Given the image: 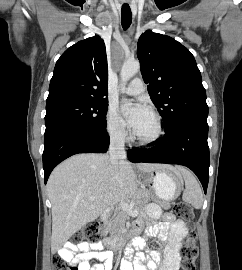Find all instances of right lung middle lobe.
I'll list each match as a JSON object with an SVG mask.
<instances>
[{"label":"right lung middle lobe","instance_id":"1","mask_svg":"<svg viewBox=\"0 0 242 270\" xmlns=\"http://www.w3.org/2000/svg\"><path fill=\"white\" fill-rule=\"evenodd\" d=\"M108 100H67L46 105L45 125L79 124L92 129L106 128Z\"/></svg>","mask_w":242,"mask_h":270}]
</instances>
